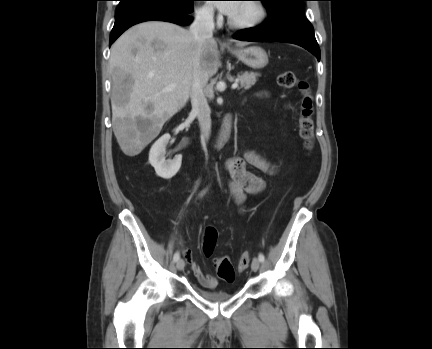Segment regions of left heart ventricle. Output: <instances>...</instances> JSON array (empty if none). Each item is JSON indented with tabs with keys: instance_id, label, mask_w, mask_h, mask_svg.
Returning a JSON list of instances; mask_svg holds the SVG:
<instances>
[{
	"instance_id": "left-heart-ventricle-1",
	"label": "left heart ventricle",
	"mask_w": 432,
	"mask_h": 349,
	"mask_svg": "<svg viewBox=\"0 0 432 349\" xmlns=\"http://www.w3.org/2000/svg\"><path fill=\"white\" fill-rule=\"evenodd\" d=\"M256 15L257 10L253 4L241 3L231 17L237 21H248L253 19Z\"/></svg>"
}]
</instances>
